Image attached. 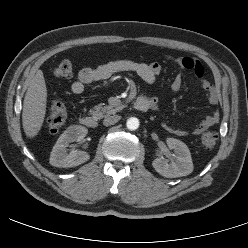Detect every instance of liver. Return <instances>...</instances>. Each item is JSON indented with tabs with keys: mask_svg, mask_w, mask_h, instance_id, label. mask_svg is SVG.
I'll use <instances>...</instances> for the list:
<instances>
[{
	"mask_svg": "<svg viewBox=\"0 0 248 248\" xmlns=\"http://www.w3.org/2000/svg\"><path fill=\"white\" fill-rule=\"evenodd\" d=\"M47 89L43 73L38 70L30 81L25 94L22 125L27 137L33 138L40 131L46 114Z\"/></svg>",
	"mask_w": 248,
	"mask_h": 248,
	"instance_id": "6515ba94",
	"label": "liver"
}]
</instances>
